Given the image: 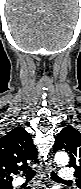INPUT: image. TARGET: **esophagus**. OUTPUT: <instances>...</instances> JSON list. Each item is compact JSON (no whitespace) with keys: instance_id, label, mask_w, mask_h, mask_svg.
I'll return each instance as SVG.
<instances>
[{"instance_id":"1","label":"esophagus","mask_w":81,"mask_h":189,"mask_svg":"<svg viewBox=\"0 0 81 189\" xmlns=\"http://www.w3.org/2000/svg\"><path fill=\"white\" fill-rule=\"evenodd\" d=\"M55 168V164L50 160L49 163H47L45 166V171L47 174H49L51 171L55 170Z\"/></svg>"}]
</instances>
